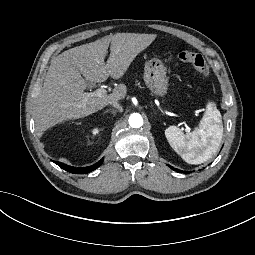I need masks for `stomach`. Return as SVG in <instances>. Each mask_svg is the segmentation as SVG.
<instances>
[{
    "mask_svg": "<svg viewBox=\"0 0 255 255\" xmlns=\"http://www.w3.org/2000/svg\"><path fill=\"white\" fill-rule=\"evenodd\" d=\"M144 82L150 94L157 98H164L168 92V78L165 68L160 65L154 68H145Z\"/></svg>",
    "mask_w": 255,
    "mask_h": 255,
    "instance_id": "stomach-1",
    "label": "stomach"
}]
</instances>
